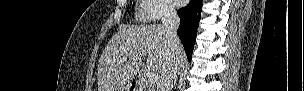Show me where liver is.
Masks as SVG:
<instances>
[{
    "label": "liver",
    "instance_id": "obj_1",
    "mask_svg": "<svg viewBox=\"0 0 304 91\" xmlns=\"http://www.w3.org/2000/svg\"><path fill=\"white\" fill-rule=\"evenodd\" d=\"M127 57V61H122ZM146 59L144 71L159 80L169 62V52L162 25L120 28L100 56L97 68L98 91H121L139 72L142 64L132 58ZM185 58L180 43V62Z\"/></svg>",
    "mask_w": 304,
    "mask_h": 91
}]
</instances>
